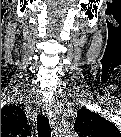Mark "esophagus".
<instances>
[{
    "label": "esophagus",
    "instance_id": "esophagus-1",
    "mask_svg": "<svg viewBox=\"0 0 121 137\" xmlns=\"http://www.w3.org/2000/svg\"><path fill=\"white\" fill-rule=\"evenodd\" d=\"M42 109L45 110V106H43ZM49 120H50L51 126H54V121L51 119V116H49Z\"/></svg>",
    "mask_w": 121,
    "mask_h": 137
}]
</instances>
